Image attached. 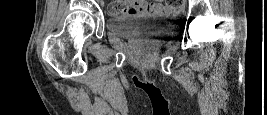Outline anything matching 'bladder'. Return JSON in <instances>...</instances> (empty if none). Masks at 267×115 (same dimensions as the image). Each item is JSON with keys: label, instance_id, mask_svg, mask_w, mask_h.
Returning a JSON list of instances; mask_svg holds the SVG:
<instances>
[{"label": "bladder", "instance_id": "obj_1", "mask_svg": "<svg viewBox=\"0 0 267 115\" xmlns=\"http://www.w3.org/2000/svg\"><path fill=\"white\" fill-rule=\"evenodd\" d=\"M162 17L159 13H126L109 17L106 27L109 32L119 38L158 37L163 31L154 27L155 22Z\"/></svg>", "mask_w": 267, "mask_h": 115}]
</instances>
